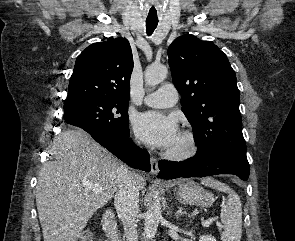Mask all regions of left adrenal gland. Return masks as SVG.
I'll use <instances>...</instances> for the list:
<instances>
[{"label":"left adrenal gland","mask_w":295,"mask_h":241,"mask_svg":"<svg viewBox=\"0 0 295 241\" xmlns=\"http://www.w3.org/2000/svg\"><path fill=\"white\" fill-rule=\"evenodd\" d=\"M177 208H178V210L175 213L176 218H179V216H181V215H186V216L190 217V214L187 213L183 207H177Z\"/></svg>","instance_id":"obj_1"}]
</instances>
